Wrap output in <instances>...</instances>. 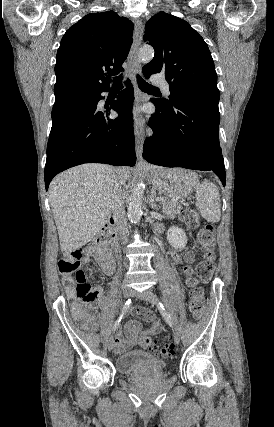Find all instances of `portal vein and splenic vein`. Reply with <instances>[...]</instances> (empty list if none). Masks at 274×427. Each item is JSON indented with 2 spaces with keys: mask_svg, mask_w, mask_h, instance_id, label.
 Returning a JSON list of instances; mask_svg holds the SVG:
<instances>
[{
  "mask_svg": "<svg viewBox=\"0 0 274 427\" xmlns=\"http://www.w3.org/2000/svg\"><path fill=\"white\" fill-rule=\"evenodd\" d=\"M158 202H164L163 198H157Z\"/></svg>",
  "mask_w": 274,
  "mask_h": 427,
  "instance_id": "18ae733b",
  "label": "portal vein and splenic vein"
}]
</instances>
